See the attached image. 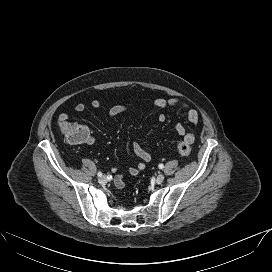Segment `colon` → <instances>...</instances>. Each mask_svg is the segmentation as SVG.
I'll return each instance as SVG.
<instances>
[{
  "mask_svg": "<svg viewBox=\"0 0 272 272\" xmlns=\"http://www.w3.org/2000/svg\"><path fill=\"white\" fill-rule=\"evenodd\" d=\"M59 127L65 138L73 143H85L88 142L91 135L86 127L78 123L70 122L68 120H60ZM191 137L187 136L178 143L179 153L187 157L191 153Z\"/></svg>",
  "mask_w": 272,
  "mask_h": 272,
  "instance_id": "5ec220e1",
  "label": "colon"
}]
</instances>
